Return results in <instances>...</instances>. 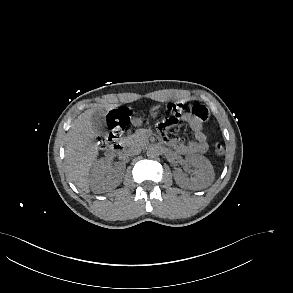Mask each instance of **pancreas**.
Masks as SVG:
<instances>
[{"label": "pancreas", "instance_id": "obj_1", "mask_svg": "<svg viewBox=\"0 0 293 293\" xmlns=\"http://www.w3.org/2000/svg\"><path fill=\"white\" fill-rule=\"evenodd\" d=\"M148 130L137 129L134 134L128 136L124 142L129 146L142 147L148 143Z\"/></svg>", "mask_w": 293, "mask_h": 293}]
</instances>
